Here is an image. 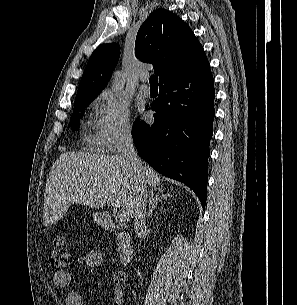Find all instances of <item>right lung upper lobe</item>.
<instances>
[{"label": "right lung upper lobe", "instance_id": "cb5924a9", "mask_svg": "<svg viewBox=\"0 0 297 305\" xmlns=\"http://www.w3.org/2000/svg\"><path fill=\"white\" fill-rule=\"evenodd\" d=\"M140 61L151 63L159 84L191 74L207 63L203 47L175 14L157 9L140 27L135 42ZM120 56V46L103 44L92 53L82 75L76 101L97 96L106 86Z\"/></svg>", "mask_w": 297, "mask_h": 305}]
</instances>
